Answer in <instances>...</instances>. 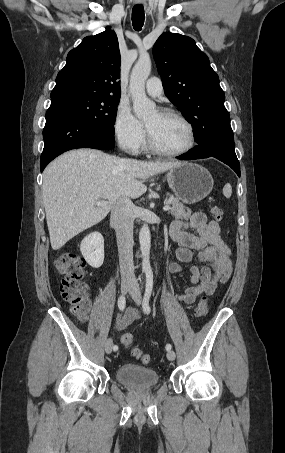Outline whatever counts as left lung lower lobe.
Listing matches in <instances>:
<instances>
[{"instance_id":"0a47b994","label":"left lung lower lobe","mask_w":285,"mask_h":453,"mask_svg":"<svg viewBox=\"0 0 285 453\" xmlns=\"http://www.w3.org/2000/svg\"><path fill=\"white\" fill-rule=\"evenodd\" d=\"M191 151L178 156L180 160L215 157L230 166L240 177V164L234 149L233 134H217L197 143Z\"/></svg>"}]
</instances>
